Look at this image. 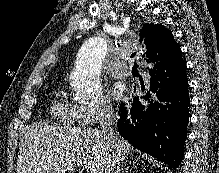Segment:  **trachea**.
<instances>
[{"label":"trachea","instance_id":"obj_1","mask_svg":"<svg viewBox=\"0 0 219 173\" xmlns=\"http://www.w3.org/2000/svg\"><path fill=\"white\" fill-rule=\"evenodd\" d=\"M135 55H136V53H133V54L131 55V58H134ZM136 67H137V65L134 63V68H136Z\"/></svg>","mask_w":219,"mask_h":173}]
</instances>
